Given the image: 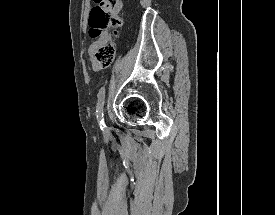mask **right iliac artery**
Here are the masks:
<instances>
[{
  "instance_id": "82829eb1",
  "label": "right iliac artery",
  "mask_w": 275,
  "mask_h": 215,
  "mask_svg": "<svg viewBox=\"0 0 275 215\" xmlns=\"http://www.w3.org/2000/svg\"><path fill=\"white\" fill-rule=\"evenodd\" d=\"M97 97H98L97 107H96L97 119L99 121L100 128L104 130L106 128V125L104 123V118H103V105H104V98H105L104 87H101Z\"/></svg>"
}]
</instances>
